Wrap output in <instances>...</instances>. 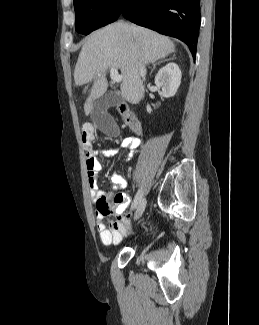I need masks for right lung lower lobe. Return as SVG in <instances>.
<instances>
[{
	"instance_id": "obj_1",
	"label": "right lung lower lobe",
	"mask_w": 259,
	"mask_h": 325,
	"mask_svg": "<svg viewBox=\"0 0 259 325\" xmlns=\"http://www.w3.org/2000/svg\"><path fill=\"white\" fill-rule=\"evenodd\" d=\"M201 0H126L120 16L131 22L176 37L195 57L201 23Z\"/></svg>"
}]
</instances>
